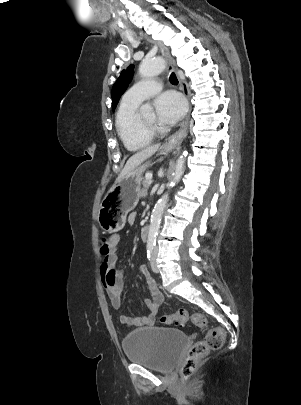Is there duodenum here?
<instances>
[{"instance_id":"obj_1","label":"duodenum","mask_w":301,"mask_h":405,"mask_svg":"<svg viewBox=\"0 0 301 405\" xmlns=\"http://www.w3.org/2000/svg\"><path fill=\"white\" fill-rule=\"evenodd\" d=\"M148 234H149V228H148L147 226H144V227L141 229V233H140V236H141L142 241H144V242L147 241V239H148Z\"/></svg>"}]
</instances>
